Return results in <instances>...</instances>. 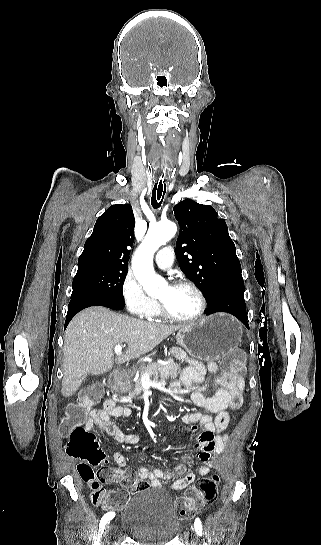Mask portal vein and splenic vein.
Wrapping results in <instances>:
<instances>
[{
	"instance_id": "portal-vein-and-splenic-vein-1",
	"label": "portal vein and splenic vein",
	"mask_w": 321,
	"mask_h": 545,
	"mask_svg": "<svg viewBox=\"0 0 321 545\" xmlns=\"http://www.w3.org/2000/svg\"><path fill=\"white\" fill-rule=\"evenodd\" d=\"M121 351H122L121 345H116L114 349V353H116V355H121ZM149 376H152V373H148V375L147 373H144V375H142L141 377L142 387H154L153 383H151L150 381Z\"/></svg>"
}]
</instances>
